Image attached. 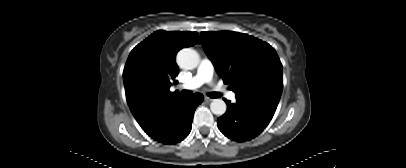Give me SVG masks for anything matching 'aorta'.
<instances>
[{"instance_id":"aorta-1","label":"aorta","mask_w":406,"mask_h":168,"mask_svg":"<svg viewBox=\"0 0 406 168\" xmlns=\"http://www.w3.org/2000/svg\"><path fill=\"white\" fill-rule=\"evenodd\" d=\"M177 64L183 69H194L200 63L199 54L191 48L180 50L176 57ZM213 114L221 116L226 112L227 106L222 99H214L210 104Z\"/></svg>"}]
</instances>
